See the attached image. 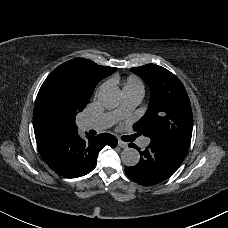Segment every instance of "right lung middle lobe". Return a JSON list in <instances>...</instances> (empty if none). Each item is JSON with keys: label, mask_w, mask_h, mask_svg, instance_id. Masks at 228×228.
Segmentation results:
<instances>
[{"label": "right lung middle lobe", "mask_w": 228, "mask_h": 228, "mask_svg": "<svg viewBox=\"0 0 228 228\" xmlns=\"http://www.w3.org/2000/svg\"><path fill=\"white\" fill-rule=\"evenodd\" d=\"M51 104H52V107L58 111L68 112L69 114H71L73 116L76 115V113L74 111L65 108L63 103L58 98L52 99Z\"/></svg>", "instance_id": "right-lung-middle-lobe-1"}]
</instances>
